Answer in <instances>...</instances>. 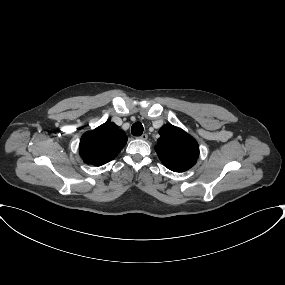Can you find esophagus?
Wrapping results in <instances>:
<instances>
[{
  "mask_svg": "<svg viewBox=\"0 0 285 285\" xmlns=\"http://www.w3.org/2000/svg\"><path fill=\"white\" fill-rule=\"evenodd\" d=\"M139 138L142 139V140H147L148 135L147 134H142Z\"/></svg>",
  "mask_w": 285,
  "mask_h": 285,
  "instance_id": "34e87169",
  "label": "esophagus"
}]
</instances>
